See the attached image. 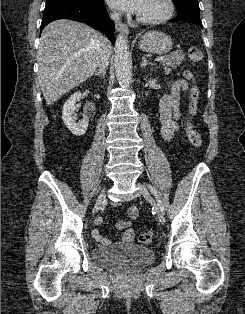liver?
Returning a JSON list of instances; mask_svg holds the SVG:
<instances>
[{"label": "liver", "mask_w": 245, "mask_h": 314, "mask_svg": "<svg viewBox=\"0 0 245 314\" xmlns=\"http://www.w3.org/2000/svg\"><path fill=\"white\" fill-rule=\"evenodd\" d=\"M105 41L93 28L72 20H56L43 29L37 52V79L47 105L95 72Z\"/></svg>", "instance_id": "liver-1"}]
</instances>
